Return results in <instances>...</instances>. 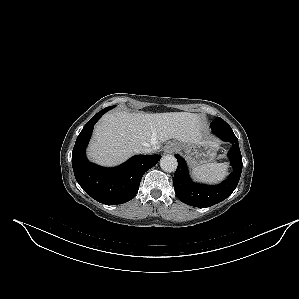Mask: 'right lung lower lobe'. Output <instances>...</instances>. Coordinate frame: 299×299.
<instances>
[{"instance_id": "98d812e1", "label": "right lung lower lobe", "mask_w": 299, "mask_h": 299, "mask_svg": "<svg viewBox=\"0 0 299 299\" xmlns=\"http://www.w3.org/2000/svg\"><path fill=\"white\" fill-rule=\"evenodd\" d=\"M110 109L101 110L83 127L73 148L72 166L77 182L89 196L100 203L115 205L135 197L142 176L160 160L161 155H137L115 168H104L89 162L85 149L93 127Z\"/></svg>"}]
</instances>
